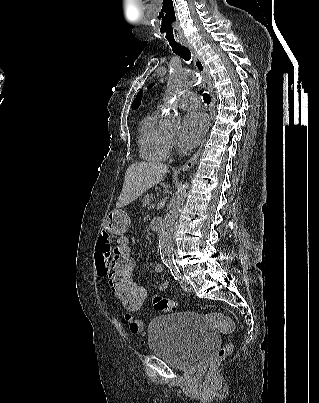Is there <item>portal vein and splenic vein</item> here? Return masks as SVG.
<instances>
[{
    "instance_id": "portal-vein-and-splenic-vein-1",
    "label": "portal vein and splenic vein",
    "mask_w": 319,
    "mask_h": 403,
    "mask_svg": "<svg viewBox=\"0 0 319 403\" xmlns=\"http://www.w3.org/2000/svg\"><path fill=\"white\" fill-rule=\"evenodd\" d=\"M150 208H151V209L156 208V204H152V205L150 206Z\"/></svg>"
}]
</instances>
